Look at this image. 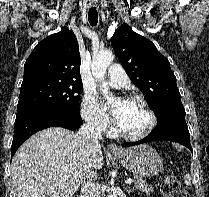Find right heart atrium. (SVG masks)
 Wrapping results in <instances>:
<instances>
[{
	"label": "right heart atrium",
	"mask_w": 209,
	"mask_h": 197,
	"mask_svg": "<svg viewBox=\"0 0 209 197\" xmlns=\"http://www.w3.org/2000/svg\"><path fill=\"white\" fill-rule=\"evenodd\" d=\"M81 115L86 124L97 132L107 131L110 119L97 99L88 93L83 95L81 101Z\"/></svg>",
	"instance_id": "1"
}]
</instances>
